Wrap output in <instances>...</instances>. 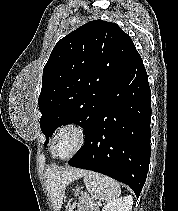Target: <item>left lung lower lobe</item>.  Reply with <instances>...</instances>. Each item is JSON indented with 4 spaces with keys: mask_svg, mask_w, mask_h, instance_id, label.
<instances>
[{
    "mask_svg": "<svg viewBox=\"0 0 178 211\" xmlns=\"http://www.w3.org/2000/svg\"><path fill=\"white\" fill-rule=\"evenodd\" d=\"M151 91L136 51L119 73L69 165L92 170L128 184L139 197L150 162Z\"/></svg>",
    "mask_w": 178,
    "mask_h": 211,
    "instance_id": "obj_1",
    "label": "left lung lower lobe"
}]
</instances>
